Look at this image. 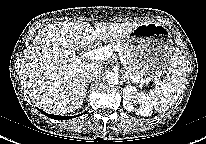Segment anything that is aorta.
I'll use <instances>...</instances> for the list:
<instances>
[{
  "instance_id": "762f6f07",
  "label": "aorta",
  "mask_w": 206,
  "mask_h": 144,
  "mask_svg": "<svg viewBox=\"0 0 206 144\" xmlns=\"http://www.w3.org/2000/svg\"><path fill=\"white\" fill-rule=\"evenodd\" d=\"M106 81H107L109 84H112V85L118 84V82H119L118 74L113 73V72H109V73L106 75Z\"/></svg>"
}]
</instances>
